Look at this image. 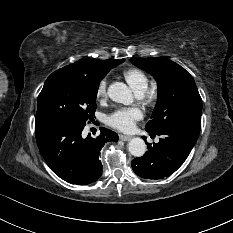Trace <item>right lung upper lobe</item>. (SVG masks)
<instances>
[{
    "mask_svg": "<svg viewBox=\"0 0 233 233\" xmlns=\"http://www.w3.org/2000/svg\"><path fill=\"white\" fill-rule=\"evenodd\" d=\"M120 60H124V59H120ZM116 61L119 60L89 59V60L78 61L77 63L67 65L63 68L75 72H79L84 75H96L100 73L106 65Z\"/></svg>",
    "mask_w": 233,
    "mask_h": 233,
    "instance_id": "obj_1",
    "label": "right lung upper lobe"
}]
</instances>
